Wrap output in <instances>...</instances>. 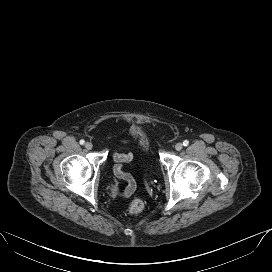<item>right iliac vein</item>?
I'll return each instance as SVG.
<instances>
[{
    "mask_svg": "<svg viewBox=\"0 0 272 272\" xmlns=\"http://www.w3.org/2000/svg\"><path fill=\"white\" fill-rule=\"evenodd\" d=\"M85 148H86L87 150H91V149L93 148L92 143L87 142V143L85 144Z\"/></svg>",
    "mask_w": 272,
    "mask_h": 272,
    "instance_id": "1",
    "label": "right iliac vein"
}]
</instances>
